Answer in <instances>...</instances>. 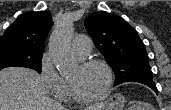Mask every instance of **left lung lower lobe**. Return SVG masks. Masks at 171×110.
<instances>
[{"instance_id":"left-lung-lower-lobe-1","label":"left lung lower lobe","mask_w":171,"mask_h":110,"mask_svg":"<svg viewBox=\"0 0 171 110\" xmlns=\"http://www.w3.org/2000/svg\"><path fill=\"white\" fill-rule=\"evenodd\" d=\"M143 84L149 86L152 90H154L156 92V94H158V90H157V87L154 84V82H152V83H143Z\"/></svg>"}]
</instances>
